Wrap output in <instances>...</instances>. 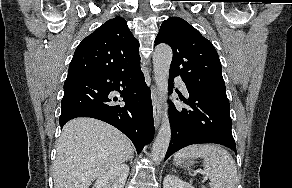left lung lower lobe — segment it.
Here are the masks:
<instances>
[{"instance_id":"0a47b994","label":"left lung lower lobe","mask_w":292,"mask_h":188,"mask_svg":"<svg viewBox=\"0 0 292 188\" xmlns=\"http://www.w3.org/2000/svg\"><path fill=\"white\" fill-rule=\"evenodd\" d=\"M174 77L170 75L169 78L170 93L173 92ZM187 90L189 99L183 101L189 109L177 110L173 103L169 104L172 136L165 160L181 148L197 143L222 144L236 152L228 98L188 86Z\"/></svg>"}]
</instances>
